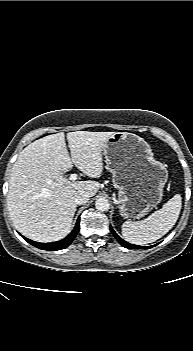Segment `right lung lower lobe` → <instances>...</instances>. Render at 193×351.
<instances>
[{
	"mask_svg": "<svg viewBox=\"0 0 193 351\" xmlns=\"http://www.w3.org/2000/svg\"><path fill=\"white\" fill-rule=\"evenodd\" d=\"M79 224H80V218H78V220L76 222V226L73 229V231L65 239H63L61 241L53 242V243H39V242L32 241L28 238H25L22 235L21 236L28 243H30L31 245H33L39 249H42V250H61V249L68 247L72 243V241L76 237L77 233L79 232V228H80Z\"/></svg>",
	"mask_w": 193,
	"mask_h": 351,
	"instance_id": "right-lung-lower-lobe-1",
	"label": "right lung lower lobe"
}]
</instances>
